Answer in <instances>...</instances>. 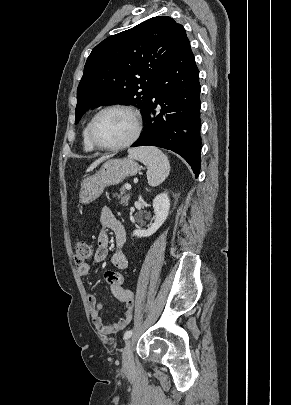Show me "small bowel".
<instances>
[{"mask_svg": "<svg viewBox=\"0 0 291 405\" xmlns=\"http://www.w3.org/2000/svg\"><path fill=\"white\" fill-rule=\"evenodd\" d=\"M100 224L102 227L101 232L97 238V250L93 258V264H98L104 261L108 255L109 236L107 230H111L114 233L117 249L111 257L112 264L120 270H124L128 267V259L122 247L126 241V231L119 220L115 218L109 208H103L100 215ZM78 273L83 276H89L91 273V265L84 264L78 267ZM110 290L113 296L119 301L123 302L126 307V311L122 318L112 325L104 323L100 313L105 308L103 303L97 301V298L93 294L88 295V303L90 306V315L92 322L96 330L103 336L118 333L128 326L131 322L133 314L132 309L134 306V294L131 290L124 289L122 286L110 285Z\"/></svg>", "mask_w": 291, "mask_h": 405, "instance_id": "c3829d8e", "label": "small bowel"}]
</instances>
